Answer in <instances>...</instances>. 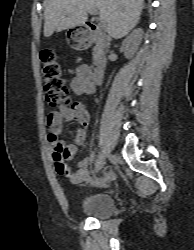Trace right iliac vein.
<instances>
[{
	"label": "right iliac vein",
	"mask_w": 194,
	"mask_h": 250,
	"mask_svg": "<svg viewBox=\"0 0 194 250\" xmlns=\"http://www.w3.org/2000/svg\"><path fill=\"white\" fill-rule=\"evenodd\" d=\"M107 157H109L108 153L103 150L101 157L98 159V163L96 165V172H99L103 168Z\"/></svg>",
	"instance_id": "right-iliac-vein-1"
}]
</instances>
